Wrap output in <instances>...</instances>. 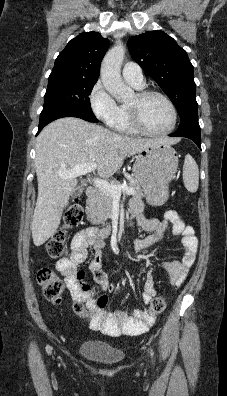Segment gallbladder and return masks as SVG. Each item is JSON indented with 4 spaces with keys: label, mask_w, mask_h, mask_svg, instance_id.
Segmentation results:
<instances>
[{
    "label": "gallbladder",
    "mask_w": 227,
    "mask_h": 396,
    "mask_svg": "<svg viewBox=\"0 0 227 396\" xmlns=\"http://www.w3.org/2000/svg\"><path fill=\"white\" fill-rule=\"evenodd\" d=\"M82 187L81 186H79V187H77L75 190H74V192H73V196H76V195H79V194H81L82 193Z\"/></svg>",
    "instance_id": "bac80fb5"
}]
</instances>
